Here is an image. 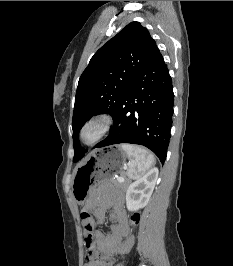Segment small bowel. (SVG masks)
Instances as JSON below:
<instances>
[{"label": "small bowel", "instance_id": "c3829d8e", "mask_svg": "<svg viewBox=\"0 0 233 266\" xmlns=\"http://www.w3.org/2000/svg\"><path fill=\"white\" fill-rule=\"evenodd\" d=\"M111 209L112 221L109 233L98 229L105 219V214ZM84 211L92 213L91 226H83L84 245L86 247L85 266H111V256L121 249L124 238L131 242L130 228L124 210V198L108 186L99 187L87 201ZM103 253V257H99Z\"/></svg>", "mask_w": 233, "mask_h": 266}]
</instances>
